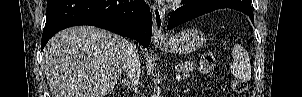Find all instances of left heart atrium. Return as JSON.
Instances as JSON below:
<instances>
[{
	"instance_id": "1",
	"label": "left heart atrium",
	"mask_w": 302,
	"mask_h": 97,
	"mask_svg": "<svg viewBox=\"0 0 302 97\" xmlns=\"http://www.w3.org/2000/svg\"><path fill=\"white\" fill-rule=\"evenodd\" d=\"M169 1H171V2H178L179 0H169Z\"/></svg>"
}]
</instances>
